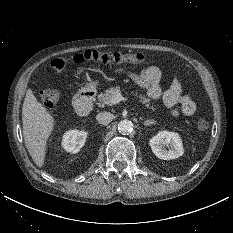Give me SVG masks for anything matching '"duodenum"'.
I'll return each instance as SVG.
<instances>
[{
    "label": "duodenum",
    "mask_w": 233,
    "mask_h": 233,
    "mask_svg": "<svg viewBox=\"0 0 233 233\" xmlns=\"http://www.w3.org/2000/svg\"><path fill=\"white\" fill-rule=\"evenodd\" d=\"M95 93L92 90H82L74 98V109L80 116H86L93 107Z\"/></svg>",
    "instance_id": "obj_1"
}]
</instances>
